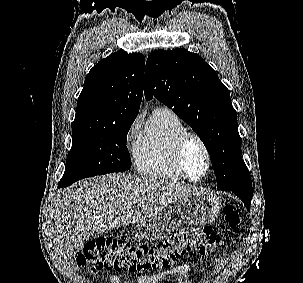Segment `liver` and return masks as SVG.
Returning <instances> with one entry per match:
<instances>
[{
	"instance_id": "6515ba94",
	"label": "liver",
	"mask_w": 303,
	"mask_h": 283,
	"mask_svg": "<svg viewBox=\"0 0 303 283\" xmlns=\"http://www.w3.org/2000/svg\"><path fill=\"white\" fill-rule=\"evenodd\" d=\"M198 192L179 182L118 173L82 180L58 194L54 234L60 253L71 260L91 235L138 223L174 199Z\"/></svg>"
}]
</instances>
